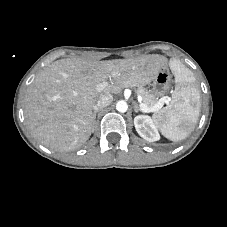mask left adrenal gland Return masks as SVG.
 Returning a JSON list of instances; mask_svg holds the SVG:
<instances>
[{"label": "left adrenal gland", "mask_w": 227, "mask_h": 227, "mask_svg": "<svg viewBox=\"0 0 227 227\" xmlns=\"http://www.w3.org/2000/svg\"><path fill=\"white\" fill-rule=\"evenodd\" d=\"M134 111H135L136 113L139 112V111L143 112V111L139 108V106H138L137 103H134Z\"/></svg>", "instance_id": "1"}]
</instances>
